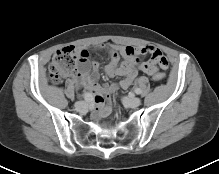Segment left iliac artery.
Segmentation results:
<instances>
[{
    "instance_id": "1",
    "label": "left iliac artery",
    "mask_w": 219,
    "mask_h": 174,
    "mask_svg": "<svg viewBox=\"0 0 219 174\" xmlns=\"http://www.w3.org/2000/svg\"><path fill=\"white\" fill-rule=\"evenodd\" d=\"M135 93H136V94H140V93H141V89H140V88H136V89H135Z\"/></svg>"
}]
</instances>
